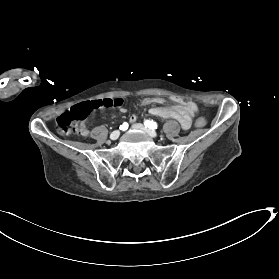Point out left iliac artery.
<instances>
[{
  "label": "left iliac artery",
  "mask_w": 279,
  "mask_h": 279,
  "mask_svg": "<svg viewBox=\"0 0 279 279\" xmlns=\"http://www.w3.org/2000/svg\"><path fill=\"white\" fill-rule=\"evenodd\" d=\"M144 124L146 127H149L150 129H156L157 128V123L153 120H145Z\"/></svg>",
  "instance_id": "1"
}]
</instances>
